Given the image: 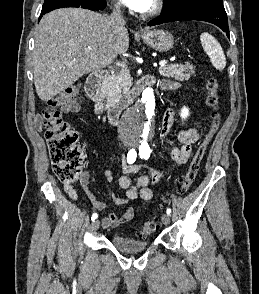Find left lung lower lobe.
<instances>
[{"label": "left lung lower lobe", "instance_id": "0a47b994", "mask_svg": "<svg viewBox=\"0 0 259 294\" xmlns=\"http://www.w3.org/2000/svg\"><path fill=\"white\" fill-rule=\"evenodd\" d=\"M181 20H199L210 22L221 28L226 33L227 37L230 38L227 14L223 3L213 1H202L174 12L161 14L157 18L151 20L148 25L153 26Z\"/></svg>", "mask_w": 259, "mask_h": 294}]
</instances>
